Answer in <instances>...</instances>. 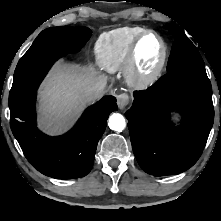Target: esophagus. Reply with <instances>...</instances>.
<instances>
[{"label": "esophagus", "mask_w": 221, "mask_h": 221, "mask_svg": "<svg viewBox=\"0 0 221 221\" xmlns=\"http://www.w3.org/2000/svg\"><path fill=\"white\" fill-rule=\"evenodd\" d=\"M129 104V96L126 93L117 95V105L119 109L123 110Z\"/></svg>", "instance_id": "esophagus-1"}]
</instances>
